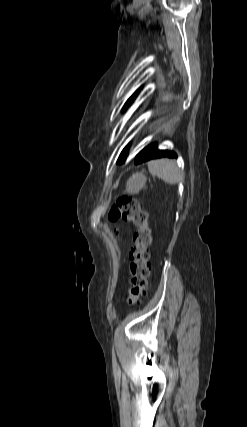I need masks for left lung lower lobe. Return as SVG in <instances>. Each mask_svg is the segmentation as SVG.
<instances>
[{"label": "left lung lower lobe", "mask_w": 247, "mask_h": 427, "mask_svg": "<svg viewBox=\"0 0 247 427\" xmlns=\"http://www.w3.org/2000/svg\"><path fill=\"white\" fill-rule=\"evenodd\" d=\"M169 157L176 158L177 155L174 152L167 150H158L157 144L153 143L146 148H144L141 152H139L135 157V164H140L146 161H150L157 158Z\"/></svg>", "instance_id": "obj_1"}]
</instances>
